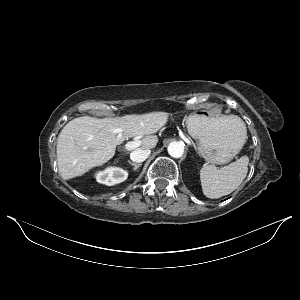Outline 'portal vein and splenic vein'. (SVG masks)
Listing matches in <instances>:
<instances>
[{
	"mask_svg": "<svg viewBox=\"0 0 300 300\" xmlns=\"http://www.w3.org/2000/svg\"><path fill=\"white\" fill-rule=\"evenodd\" d=\"M141 144V141L140 140H135V141H130V142H127L125 145H124V148L128 151L130 150H133L137 147H139Z\"/></svg>",
	"mask_w": 300,
	"mask_h": 300,
	"instance_id": "obj_1",
	"label": "portal vein and splenic vein"
}]
</instances>
